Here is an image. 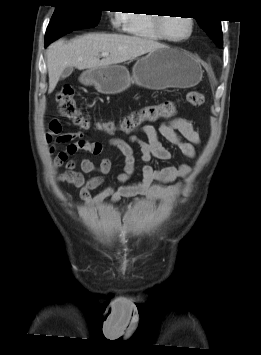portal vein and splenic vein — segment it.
Segmentation results:
<instances>
[{
    "mask_svg": "<svg viewBox=\"0 0 261 355\" xmlns=\"http://www.w3.org/2000/svg\"><path fill=\"white\" fill-rule=\"evenodd\" d=\"M108 55H109L108 52H102V53H101V56H102V57H107Z\"/></svg>",
    "mask_w": 261,
    "mask_h": 355,
    "instance_id": "portal-vein-and-splenic-vein-1",
    "label": "portal vein and splenic vein"
}]
</instances>
